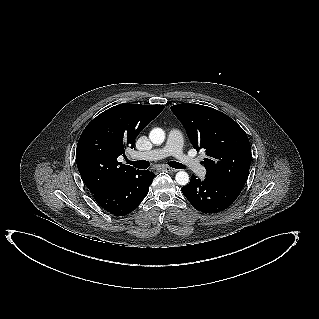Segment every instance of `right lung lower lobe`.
<instances>
[{
  "label": "right lung lower lobe",
  "instance_id": "98d812e1",
  "mask_svg": "<svg viewBox=\"0 0 319 319\" xmlns=\"http://www.w3.org/2000/svg\"><path fill=\"white\" fill-rule=\"evenodd\" d=\"M153 179V172L135 170L93 195L103 209L114 216H124L134 211L146 197Z\"/></svg>",
  "mask_w": 319,
  "mask_h": 319
}]
</instances>
